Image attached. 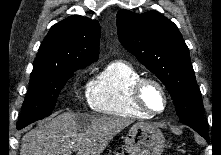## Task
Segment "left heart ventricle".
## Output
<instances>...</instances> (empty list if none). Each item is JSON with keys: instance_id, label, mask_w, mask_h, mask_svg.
Masks as SVG:
<instances>
[{"instance_id": "b2bd125f", "label": "left heart ventricle", "mask_w": 221, "mask_h": 155, "mask_svg": "<svg viewBox=\"0 0 221 155\" xmlns=\"http://www.w3.org/2000/svg\"><path fill=\"white\" fill-rule=\"evenodd\" d=\"M143 99L146 105L155 111H159L163 108L164 99L159 89L154 85H147L143 91Z\"/></svg>"}]
</instances>
